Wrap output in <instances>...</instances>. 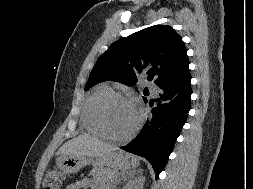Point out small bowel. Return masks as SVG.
<instances>
[{
  "label": "small bowel",
  "mask_w": 253,
  "mask_h": 189,
  "mask_svg": "<svg viewBox=\"0 0 253 189\" xmlns=\"http://www.w3.org/2000/svg\"><path fill=\"white\" fill-rule=\"evenodd\" d=\"M96 188L97 187L94 181L90 179H84L66 187V189H96Z\"/></svg>",
  "instance_id": "small-bowel-1"
}]
</instances>
